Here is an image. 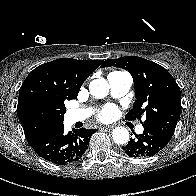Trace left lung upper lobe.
<instances>
[{"label": "left lung upper lobe", "instance_id": "1", "mask_svg": "<svg viewBox=\"0 0 196 196\" xmlns=\"http://www.w3.org/2000/svg\"><path fill=\"white\" fill-rule=\"evenodd\" d=\"M110 66L128 70L134 80L136 100L125 118L141 119L144 114L143 127H152L170 140L181 113L180 88L171 74L161 65L137 56L108 59L101 67Z\"/></svg>", "mask_w": 196, "mask_h": 196}]
</instances>
